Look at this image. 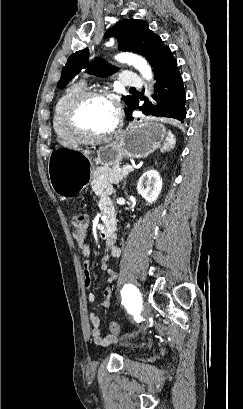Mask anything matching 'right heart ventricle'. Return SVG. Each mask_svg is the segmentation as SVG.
<instances>
[{
  "label": "right heart ventricle",
  "instance_id": "obj_1",
  "mask_svg": "<svg viewBox=\"0 0 243 409\" xmlns=\"http://www.w3.org/2000/svg\"><path fill=\"white\" fill-rule=\"evenodd\" d=\"M85 89L83 82H75L69 85L58 97L53 108V129L58 142L62 145L70 146L78 140L67 130L64 123V110L68 100L77 92Z\"/></svg>",
  "mask_w": 243,
  "mask_h": 409
}]
</instances>
